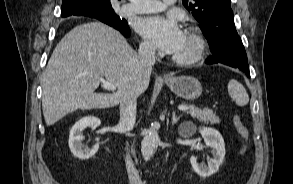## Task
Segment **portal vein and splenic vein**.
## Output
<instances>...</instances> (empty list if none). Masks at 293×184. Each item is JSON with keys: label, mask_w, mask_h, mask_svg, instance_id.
Listing matches in <instances>:
<instances>
[{"label": "portal vein and splenic vein", "mask_w": 293, "mask_h": 184, "mask_svg": "<svg viewBox=\"0 0 293 184\" xmlns=\"http://www.w3.org/2000/svg\"><path fill=\"white\" fill-rule=\"evenodd\" d=\"M100 80H101V82L103 84V88L104 89H108V90H111V91H115L116 90L115 85L112 84V83H110L109 81L105 80L103 77H100ZM178 109L180 111H186V110H188V107L185 106V105H179L178 106Z\"/></svg>", "instance_id": "portal-vein-and-splenic-vein-1"}]
</instances>
